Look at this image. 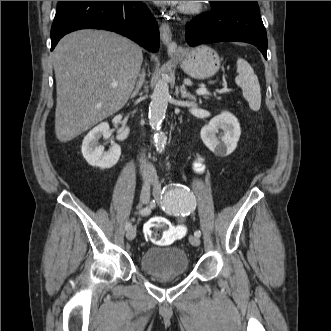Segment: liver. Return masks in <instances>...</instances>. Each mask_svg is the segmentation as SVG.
Returning a JSON list of instances; mask_svg holds the SVG:
<instances>
[{
  "label": "liver",
  "mask_w": 331,
  "mask_h": 331,
  "mask_svg": "<svg viewBox=\"0 0 331 331\" xmlns=\"http://www.w3.org/2000/svg\"><path fill=\"white\" fill-rule=\"evenodd\" d=\"M142 61L140 46L112 32L84 29L64 36L53 51L57 139L68 142L122 109Z\"/></svg>",
  "instance_id": "1"
}]
</instances>
